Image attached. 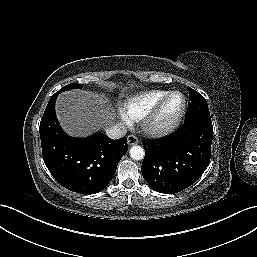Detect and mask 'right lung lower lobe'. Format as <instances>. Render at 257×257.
<instances>
[{
	"mask_svg": "<svg viewBox=\"0 0 257 257\" xmlns=\"http://www.w3.org/2000/svg\"><path fill=\"white\" fill-rule=\"evenodd\" d=\"M59 94L51 96L39 127L45 165L57 182L73 192H100L109 184L128 150L126 138L112 140L100 132L88 138L68 136L56 118Z\"/></svg>",
	"mask_w": 257,
	"mask_h": 257,
	"instance_id": "98d812e1",
	"label": "right lung lower lobe"
}]
</instances>
